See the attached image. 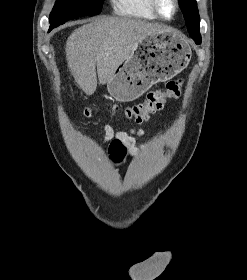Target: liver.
<instances>
[{
  "instance_id": "1",
  "label": "liver",
  "mask_w": 247,
  "mask_h": 280,
  "mask_svg": "<svg viewBox=\"0 0 247 280\" xmlns=\"http://www.w3.org/2000/svg\"><path fill=\"white\" fill-rule=\"evenodd\" d=\"M170 29L127 17H104L75 29L66 43L68 67L76 83L92 95L108 83L116 68L127 60L145 37Z\"/></svg>"
}]
</instances>
